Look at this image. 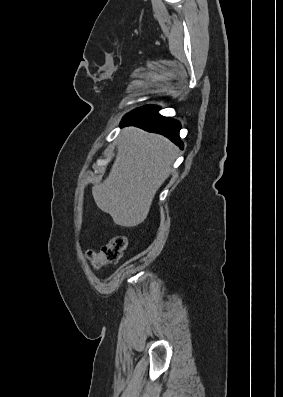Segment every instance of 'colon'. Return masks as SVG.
Wrapping results in <instances>:
<instances>
[{"instance_id":"1","label":"colon","mask_w":283,"mask_h":397,"mask_svg":"<svg viewBox=\"0 0 283 397\" xmlns=\"http://www.w3.org/2000/svg\"><path fill=\"white\" fill-rule=\"evenodd\" d=\"M127 245L128 242L124 236H116L103 245L99 251H89L88 258L95 268L113 264L121 259Z\"/></svg>"}]
</instances>
